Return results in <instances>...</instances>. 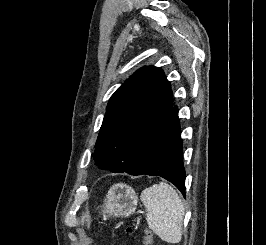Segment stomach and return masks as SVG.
I'll return each mask as SVG.
<instances>
[{
    "label": "stomach",
    "mask_w": 266,
    "mask_h": 245,
    "mask_svg": "<svg viewBox=\"0 0 266 245\" xmlns=\"http://www.w3.org/2000/svg\"><path fill=\"white\" fill-rule=\"evenodd\" d=\"M138 205L137 193L125 183H115L110 187L102 205L101 215L106 221L109 217H130Z\"/></svg>",
    "instance_id": "1"
}]
</instances>
